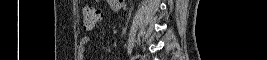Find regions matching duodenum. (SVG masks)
<instances>
[{
    "label": "duodenum",
    "instance_id": "duodenum-1",
    "mask_svg": "<svg viewBox=\"0 0 267 60\" xmlns=\"http://www.w3.org/2000/svg\"><path fill=\"white\" fill-rule=\"evenodd\" d=\"M123 0H113L110 2V4L117 10H119L124 5Z\"/></svg>",
    "mask_w": 267,
    "mask_h": 60
}]
</instances>
